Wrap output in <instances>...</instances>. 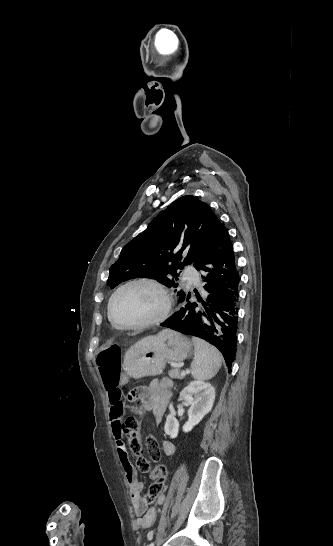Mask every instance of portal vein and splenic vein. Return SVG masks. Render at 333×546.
<instances>
[{"instance_id":"portal-vein-and-splenic-vein-1","label":"portal vein and splenic vein","mask_w":333,"mask_h":546,"mask_svg":"<svg viewBox=\"0 0 333 546\" xmlns=\"http://www.w3.org/2000/svg\"><path fill=\"white\" fill-rule=\"evenodd\" d=\"M186 374H187V373H186L185 371H182V372H181V375H182V376H186Z\"/></svg>"}]
</instances>
